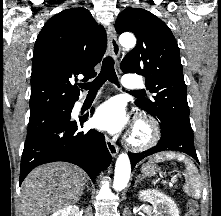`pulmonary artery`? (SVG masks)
I'll return each mask as SVG.
<instances>
[{
	"mask_svg": "<svg viewBox=\"0 0 221 216\" xmlns=\"http://www.w3.org/2000/svg\"><path fill=\"white\" fill-rule=\"evenodd\" d=\"M122 85L127 89L134 90L137 88H141L143 86V82L139 78L126 75L122 79ZM79 104H81V102Z\"/></svg>",
	"mask_w": 221,
	"mask_h": 216,
	"instance_id": "pulmonary-artery-1",
	"label": "pulmonary artery"
}]
</instances>
